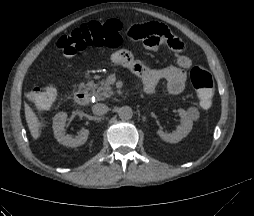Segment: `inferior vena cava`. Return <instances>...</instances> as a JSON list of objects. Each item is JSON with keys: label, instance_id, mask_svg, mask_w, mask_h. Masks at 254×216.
<instances>
[{"label": "inferior vena cava", "instance_id": "inferior-vena-cava-1", "mask_svg": "<svg viewBox=\"0 0 254 216\" xmlns=\"http://www.w3.org/2000/svg\"><path fill=\"white\" fill-rule=\"evenodd\" d=\"M109 108L105 104L98 103L92 107V111L95 115H104L108 112Z\"/></svg>", "mask_w": 254, "mask_h": 216}]
</instances>
